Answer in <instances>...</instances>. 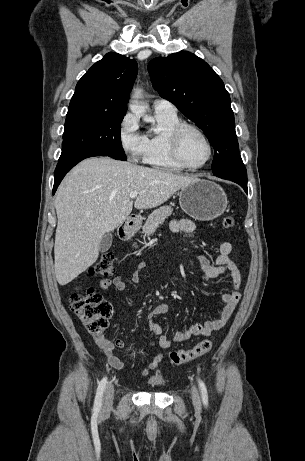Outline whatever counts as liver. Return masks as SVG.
I'll return each instance as SVG.
<instances>
[{"label": "liver", "instance_id": "obj_1", "mask_svg": "<svg viewBox=\"0 0 305 461\" xmlns=\"http://www.w3.org/2000/svg\"><path fill=\"white\" fill-rule=\"evenodd\" d=\"M196 180L107 157L79 163L64 178L55 199L58 283L68 284L97 260L101 239L126 220L133 204L136 209L157 207ZM134 191L138 195L133 203Z\"/></svg>", "mask_w": 305, "mask_h": 461}]
</instances>
